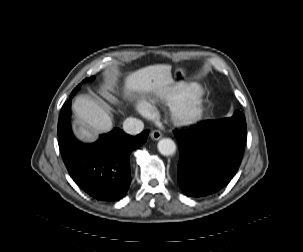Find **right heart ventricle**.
Masks as SVG:
<instances>
[{
    "label": "right heart ventricle",
    "mask_w": 303,
    "mask_h": 252,
    "mask_svg": "<svg viewBox=\"0 0 303 252\" xmlns=\"http://www.w3.org/2000/svg\"><path fill=\"white\" fill-rule=\"evenodd\" d=\"M183 99L182 95L180 93H169L167 95V100L171 103H176V102H179Z\"/></svg>",
    "instance_id": "e07e8e85"
}]
</instances>
